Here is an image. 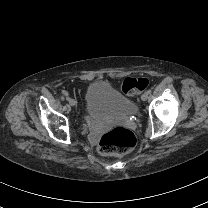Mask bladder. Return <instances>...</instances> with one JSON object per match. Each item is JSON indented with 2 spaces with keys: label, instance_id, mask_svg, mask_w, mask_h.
<instances>
[{
  "label": "bladder",
  "instance_id": "1",
  "mask_svg": "<svg viewBox=\"0 0 208 208\" xmlns=\"http://www.w3.org/2000/svg\"><path fill=\"white\" fill-rule=\"evenodd\" d=\"M84 108L90 116L125 118L136 112V103L105 82H92L84 92Z\"/></svg>",
  "mask_w": 208,
  "mask_h": 208
}]
</instances>
